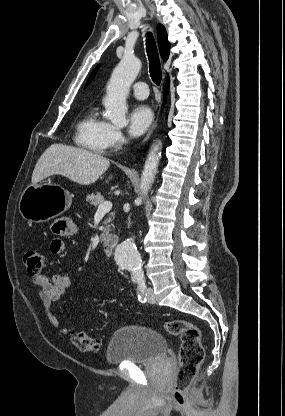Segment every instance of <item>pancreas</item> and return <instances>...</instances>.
<instances>
[{"label": "pancreas", "instance_id": "obj_1", "mask_svg": "<svg viewBox=\"0 0 285 416\" xmlns=\"http://www.w3.org/2000/svg\"><path fill=\"white\" fill-rule=\"evenodd\" d=\"M86 202H89L91 206H95L96 208L99 204H103L105 200L103 196H101L100 192H97V194H90V196H87ZM113 218H115V212H111V214H109V218H106L105 222H103L104 228L102 230V234H100L101 242H104L106 236H108L109 232H111V226H109V224L112 222Z\"/></svg>", "mask_w": 285, "mask_h": 416}]
</instances>
